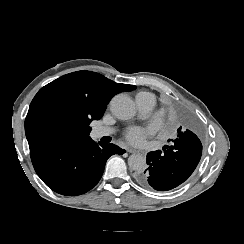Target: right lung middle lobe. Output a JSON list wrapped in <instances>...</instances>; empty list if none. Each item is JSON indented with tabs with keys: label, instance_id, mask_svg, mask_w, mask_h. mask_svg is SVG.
<instances>
[{
	"label": "right lung middle lobe",
	"instance_id": "dd1d6c3e",
	"mask_svg": "<svg viewBox=\"0 0 244 244\" xmlns=\"http://www.w3.org/2000/svg\"><path fill=\"white\" fill-rule=\"evenodd\" d=\"M102 116L103 112L85 103L64 102L50 109L35 108L28 111L25 133L31 140H81L89 137L90 123Z\"/></svg>",
	"mask_w": 244,
	"mask_h": 244
}]
</instances>
